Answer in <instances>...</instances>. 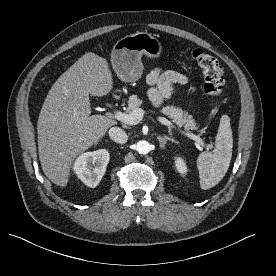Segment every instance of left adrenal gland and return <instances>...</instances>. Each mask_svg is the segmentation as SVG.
Instances as JSON below:
<instances>
[{
    "label": "left adrenal gland",
    "instance_id": "left-adrenal-gland-1",
    "mask_svg": "<svg viewBox=\"0 0 276 276\" xmlns=\"http://www.w3.org/2000/svg\"><path fill=\"white\" fill-rule=\"evenodd\" d=\"M157 139L159 140L160 142V147L161 149H164L165 148V145L167 143V141H171V142H174V143H177L173 138L171 137H168V136H157Z\"/></svg>",
    "mask_w": 276,
    "mask_h": 276
}]
</instances>
